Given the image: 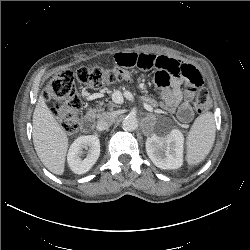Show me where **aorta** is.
<instances>
[{
	"label": "aorta",
	"instance_id": "1",
	"mask_svg": "<svg viewBox=\"0 0 250 250\" xmlns=\"http://www.w3.org/2000/svg\"><path fill=\"white\" fill-rule=\"evenodd\" d=\"M138 127V120L134 116H127L123 121H122V128L125 131H134Z\"/></svg>",
	"mask_w": 250,
	"mask_h": 250
}]
</instances>
